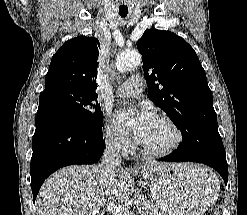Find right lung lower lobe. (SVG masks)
Segmentation results:
<instances>
[{
    "label": "right lung lower lobe",
    "instance_id": "obj_1",
    "mask_svg": "<svg viewBox=\"0 0 247 215\" xmlns=\"http://www.w3.org/2000/svg\"><path fill=\"white\" fill-rule=\"evenodd\" d=\"M104 148L102 128L92 129L52 113L37 114L31 158L33 202L50 174L68 165L96 163Z\"/></svg>",
    "mask_w": 247,
    "mask_h": 215
}]
</instances>
